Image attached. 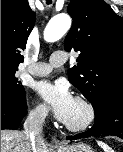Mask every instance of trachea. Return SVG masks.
Here are the masks:
<instances>
[{"mask_svg": "<svg viewBox=\"0 0 123 152\" xmlns=\"http://www.w3.org/2000/svg\"><path fill=\"white\" fill-rule=\"evenodd\" d=\"M47 3L50 4V3H51V0H47Z\"/></svg>", "mask_w": 123, "mask_h": 152, "instance_id": "obj_1", "label": "trachea"}]
</instances>
